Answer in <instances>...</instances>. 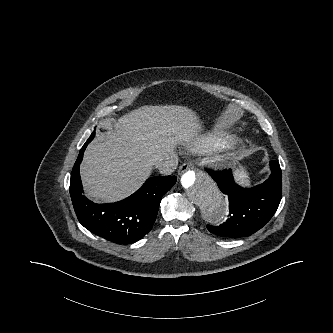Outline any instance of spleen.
<instances>
[{"mask_svg": "<svg viewBox=\"0 0 333 333\" xmlns=\"http://www.w3.org/2000/svg\"><path fill=\"white\" fill-rule=\"evenodd\" d=\"M234 177L236 179V181L239 184H249V177H248V173L244 172V171H239L238 169L235 171Z\"/></svg>", "mask_w": 333, "mask_h": 333, "instance_id": "obj_1", "label": "spleen"}]
</instances>
